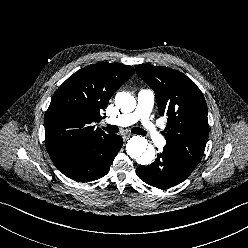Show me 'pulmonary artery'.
I'll use <instances>...</instances> for the list:
<instances>
[{
	"mask_svg": "<svg viewBox=\"0 0 248 248\" xmlns=\"http://www.w3.org/2000/svg\"><path fill=\"white\" fill-rule=\"evenodd\" d=\"M155 94L152 89H140L137 96V107L132 113L120 114L106 120L107 123L117 126H129L140 121L142 129L152 141L163 145L165 140L155 124L150 119V113L154 104Z\"/></svg>",
	"mask_w": 248,
	"mask_h": 248,
	"instance_id": "pulmonary-artery-1",
	"label": "pulmonary artery"
}]
</instances>
